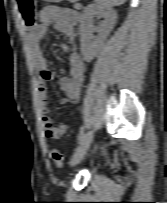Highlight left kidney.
<instances>
[{"mask_svg":"<svg viewBox=\"0 0 167 203\" xmlns=\"http://www.w3.org/2000/svg\"><path fill=\"white\" fill-rule=\"evenodd\" d=\"M103 17L104 21L100 23L99 36L95 41L90 39V30L93 24V17ZM117 20V14L112 9H107L99 4L89 5L83 13L81 25L79 29L81 41V53L86 62H91L98 55L103 44L113 29Z\"/></svg>","mask_w":167,"mask_h":203,"instance_id":"left-kidney-1","label":"left kidney"}]
</instances>
